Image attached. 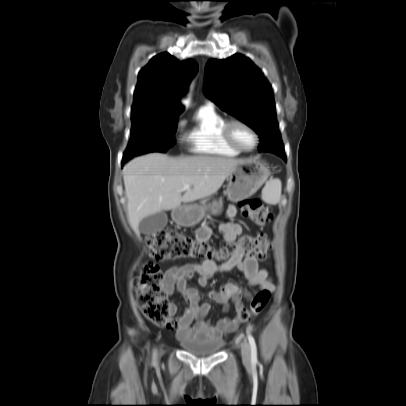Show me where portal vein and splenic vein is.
<instances>
[{
  "instance_id": "obj_1",
  "label": "portal vein and splenic vein",
  "mask_w": 406,
  "mask_h": 406,
  "mask_svg": "<svg viewBox=\"0 0 406 406\" xmlns=\"http://www.w3.org/2000/svg\"><path fill=\"white\" fill-rule=\"evenodd\" d=\"M190 189V185L189 184H186L183 188H182V191H186V190H189Z\"/></svg>"
}]
</instances>
